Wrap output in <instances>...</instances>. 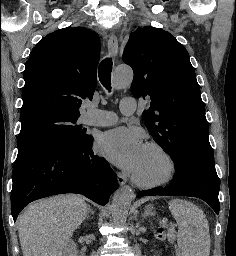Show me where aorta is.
<instances>
[{
    "label": "aorta",
    "instance_id": "aorta-1",
    "mask_svg": "<svg viewBox=\"0 0 236 256\" xmlns=\"http://www.w3.org/2000/svg\"><path fill=\"white\" fill-rule=\"evenodd\" d=\"M133 80V71L128 66H119L116 68L113 76V88L123 89ZM135 198L133 190L129 186L119 189L112 199V218L117 224L123 225L128 216L132 200Z\"/></svg>",
    "mask_w": 236,
    "mask_h": 256
}]
</instances>
